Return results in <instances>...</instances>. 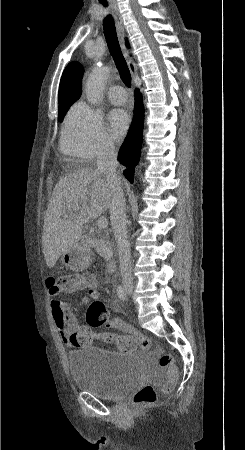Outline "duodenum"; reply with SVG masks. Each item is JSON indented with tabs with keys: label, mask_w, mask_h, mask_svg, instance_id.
Listing matches in <instances>:
<instances>
[{
	"label": "duodenum",
	"mask_w": 245,
	"mask_h": 450,
	"mask_svg": "<svg viewBox=\"0 0 245 450\" xmlns=\"http://www.w3.org/2000/svg\"><path fill=\"white\" fill-rule=\"evenodd\" d=\"M99 243L97 240H93L91 238L80 236L77 240V248L81 253H86L91 250L95 244ZM119 270V261L115 257H113L108 264V271L110 273H116Z\"/></svg>",
	"instance_id": "duodenum-1"
}]
</instances>
